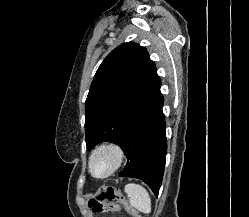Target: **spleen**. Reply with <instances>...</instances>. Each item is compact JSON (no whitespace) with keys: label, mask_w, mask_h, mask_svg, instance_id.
<instances>
[{"label":"spleen","mask_w":249,"mask_h":217,"mask_svg":"<svg viewBox=\"0 0 249 217\" xmlns=\"http://www.w3.org/2000/svg\"><path fill=\"white\" fill-rule=\"evenodd\" d=\"M124 191L129 197L131 206L146 214L151 212V198L143 186L130 183L125 186Z\"/></svg>","instance_id":"spleen-1"}]
</instances>
